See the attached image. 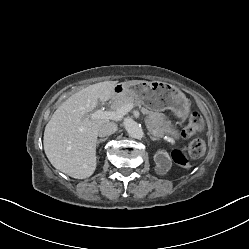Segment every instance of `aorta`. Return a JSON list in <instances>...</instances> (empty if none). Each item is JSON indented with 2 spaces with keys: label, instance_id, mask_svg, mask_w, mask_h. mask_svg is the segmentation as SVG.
<instances>
[{
  "label": "aorta",
  "instance_id": "aorta-1",
  "mask_svg": "<svg viewBox=\"0 0 249 249\" xmlns=\"http://www.w3.org/2000/svg\"><path fill=\"white\" fill-rule=\"evenodd\" d=\"M128 134L136 139H141L144 136L142 128L132 119H127L124 123Z\"/></svg>",
  "mask_w": 249,
  "mask_h": 249
}]
</instances>
